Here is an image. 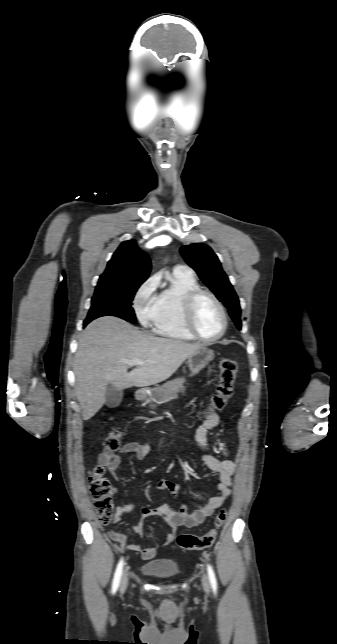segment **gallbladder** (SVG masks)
<instances>
[{"label":"gallbladder","instance_id":"bac80fb5","mask_svg":"<svg viewBox=\"0 0 337 644\" xmlns=\"http://www.w3.org/2000/svg\"><path fill=\"white\" fill-rule=\"evenodd\" d=\"M123 398V391L114 386H108L105 394V403L109 408L117 407Z\"/></svg>","mask_w":337,"mask_h":644}]
</instances>
